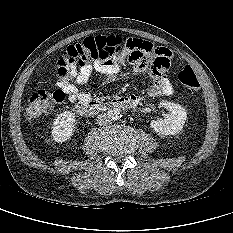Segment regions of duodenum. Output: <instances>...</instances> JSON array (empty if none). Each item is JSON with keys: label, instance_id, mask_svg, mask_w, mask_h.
Listing matches in <instances>:
<instances>
[{"label": "duodenum", "instance_id": "duodenum-1", "mask_svg": "<svg viewBox=\"0 0 233 233\" xmlns=\"http://www.w3.org/2000/svg\"><path fill=\"white\" fill-rule=\"evenodd\" d=\"M139 103L137 96H122L108 102L92 101L80 103L75 106V112L80 116H92L94 114L104 112L108 109H132Z\"/></svg>", "mask_w": 233, "mask_h": 233}]
</instances>
